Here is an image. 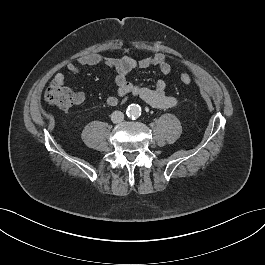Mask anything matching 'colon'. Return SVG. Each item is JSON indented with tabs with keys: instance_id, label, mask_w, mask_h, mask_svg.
Instances as JSON below:
<instances>
[{
	"instance_id": "obj_1",
	"label": "colon",
	"mask_w": 265,
	"mask_h": 265,
	"mask_svg": "<svg viewBox=\"0 0 265 265\" xmlns=\"http://www.w3.org/2000/svg\"><path fill=\"white\" fill-rule=\"evenodd\" d=\"M180 80L184 84L192 82V76L188 72H183L180 75ZM46 102L60 110H67L74 104L73 92L63 84L53 81L45 93Z\"/></svg>"
}]
</instances>
